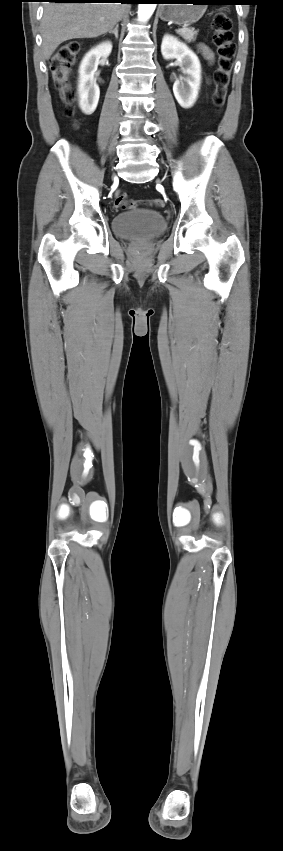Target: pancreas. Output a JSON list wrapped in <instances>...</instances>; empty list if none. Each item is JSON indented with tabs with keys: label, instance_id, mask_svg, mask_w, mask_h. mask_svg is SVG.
I'll list each match as a JSON object with an SVG mask.
<instances>
[{
	"label": "pancreas",
	"instance_id": "1",
	"mask_svg": "<svg viewBox=\"0 0 283 851\" xmlns=\"http://www.w3.org/2000/svg\"><path fill=\"white\" fill-rule=\"evenodd\" d=\"M177 33L188 43L195 41L198 31H195L193 28H187L182 31H177Z\"/></svg>",
	"mask_w": 283,
	"mask_h": 851
}]
</instances>
